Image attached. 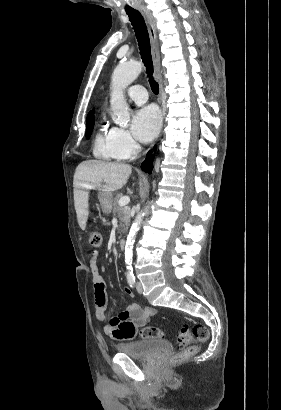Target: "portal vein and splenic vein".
I'll return each mask as SVG.
<instances>
[{
    "label": "portal vein and splenic vein",
    "instance_id": "obj_1",
    "mask_svg": "<svg viewBox=\"0 0 281 410\" xmlns=\"http://www.w3.org/2000/svg\"><path fill=\"white\" fill-rule=\"evenodd\" d=\"M130 202V197L129 196H123L120 198L118 204L119 206H126Z\"/></svg>",
    "mask_w": 281,
    "mask_h": 410
}]
</instances>
